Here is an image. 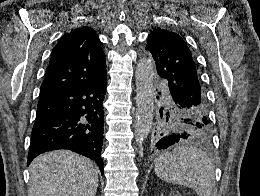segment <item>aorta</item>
<instances>
[{
    "label": "aorta",
    "mask_w": 260,
    "mask_h": 196,
    "mask_svg": "<svg viewBox=\"0 0 260 196\" xmlns=\"http://www.w3.org/2000/svg\"><path fill=\"white\" fill-rule=\"evenodd\" d=\"M136 121L134 134L142 144L153 123V79L154 62L151 58H141L136 66Z\"/></svg>",
    "instance_id": "762f6f07"
}]
</instances>
